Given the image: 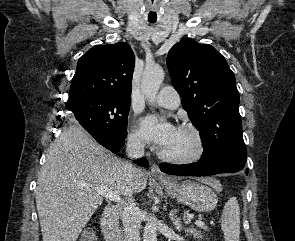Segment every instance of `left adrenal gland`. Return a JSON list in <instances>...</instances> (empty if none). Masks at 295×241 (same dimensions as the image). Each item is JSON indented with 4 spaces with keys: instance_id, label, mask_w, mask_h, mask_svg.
Masks as SVG:
<instances>
[{
    "instance_id": "1",
    "label": "left adrenal gland",
    "mask_w": 295,
    "mask_h": 241,
    "mask_svg": "<svg viewBox=\"0 0 295 241\" xmlns=\"http://www.w3.org/2000/svg\"><path fill=\"white\" fill-rule=\"evenodd\" d=\"M176 213H177V209H173L170 212V219H171L172 223L174 224L176 230H178L180 232L181 230H183V225H182V222H181V218L178 217L176 215ZM184 221H185V218H184ZM185 223H186V221H185Z\"/></svg>"
}]
</instances>
